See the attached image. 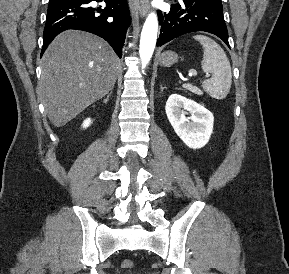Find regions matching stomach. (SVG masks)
<instances>
[{"label":"stomach","instance_id":"1","mask_svg":"<svg viewBox=\"0 0 289 274\" xmlns=\"http://www.w3.org/2000/svg\"><path fill=\"white\" fill-rule=\"evenodd\" d=\"M178 61V55L173 51H166L161 54L159 63L163 67H170Z\"/></svg>","mask_w":289,"mask_h":274}]
</instances>
